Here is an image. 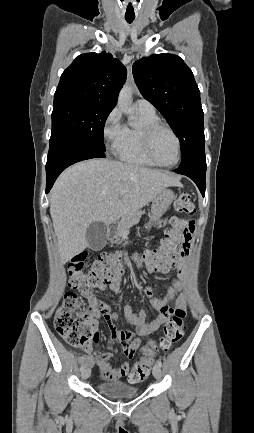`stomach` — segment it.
Instances as JSON below:
<instances>
[{"label":"stomach","instance_id":"stomach-1","mask_svg":"<svg viewBox=\"0 0 254 433\" xmlns=\"http://www.w3.org/2000/svg\"><path fill=\"white\" fill-rule=\"evenodd\" d=\"M174 199L175 194L172 190L168 188L161 190L152 200L150 220L156 221L159 219L167 211Z\"/></svg>","mask_w":254,"mask_h":433}]
</instances>
